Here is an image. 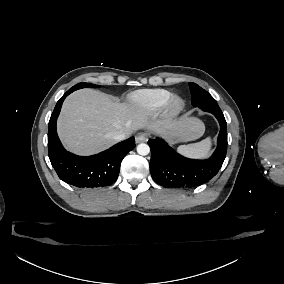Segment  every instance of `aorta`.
Instances as JSON below:
<instances>
[{
	"label": "aorta",
	"mask_w": 284,
	"mask_h": 284,
	"mask_svg": "<svg viewBox=\"0 0 284 284\" xmlns=\"http://www.w3.org/2000/svg\"><path fill=\"white\" fill-rule=\"evenodd\" d=\"M150 152V147L148 144L141 143L137 146V153L139 155L145 156L148 155Z\"/></svg>",
	"instance_id": "762f6f07"
}]
</instances>
